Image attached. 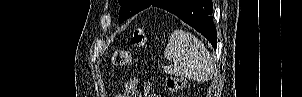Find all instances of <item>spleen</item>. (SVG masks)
Masks as SVG:
<instances>
[{
	"instance_id": "3e777b00",
	"label": "spleen",
	"mask_w": 302,
	"mask_h": 97,
	"mask_svg": "<svg viewBox=\"0 0 302 97\" xmlns=\"http://www.w3.org/2000/svg\"><path fill=\"white\" fill-rule=\"evenodd\" d=\"M164 56L173 64L165 71L175 76L205 82L214 72V62L204 44L192 33L181 29L171 35Z\"/></svg>"
}]
</instances>
